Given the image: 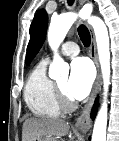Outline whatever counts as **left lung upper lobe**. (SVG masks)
I'll list each match as a JSON object with an SVG mask.
<instances>
[{"label": "left lung upper lobe", "mask_w": 119, "mask_h": 141, "mask_svg": "<svg viewBox=\"0 0 119 141\" xmlns=\"http://www.w3.org/2000/svg\"><path fill=\"white\" fill-rule=\"evenodd\" d=\"M48 16L45 10H40L35 15L30 26V41L27 47L26 64L28 65L31 60L38 53L41 48L47 30Z\"/></svg>", "instance_id": "1"}]
</instances>
